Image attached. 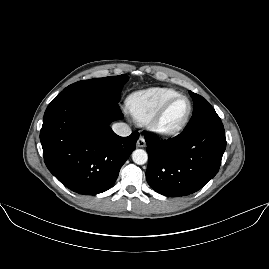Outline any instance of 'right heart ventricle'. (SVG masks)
Wrapping results in <instances>:
<instances>
[{
    "label": "right heart ventricle",
    "instance_id": "e07e8e85",
    "mask_svg": "<svg viewBox=\"0 0 269 269\" xmlns=\"http://www.w3.org/2000/svg\"><path fill=\"white\" fill-rule=\"evenodd\" d=\"M177 95L179 93L171 88H149L131 94L127 99V107L131 116L138 123L145 125L167 100Z\"/></svg>",
    "mask_w": 269,
    "mask_h": 269
}]
</instances>
